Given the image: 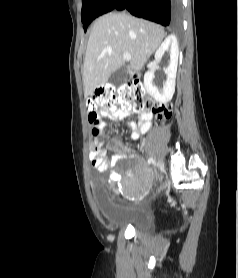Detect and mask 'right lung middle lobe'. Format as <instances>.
<instances>
[{
	"mask_svg": "<svg viewBox=\"0 0 238 278\" xmlns=\"http://www.w3.org/2000/svg\"><path fill=\"white\" fill-rule=\"evenodd\" d=\"M101 1L102 0H83L81 19H82L84 31L87 30V27L91 22V16L94 9Z\"/></svg>",
	"mask_w": 238,
	"mask_h": 278,
	"instance_id": "obj_1",
	"label": "right lung middle lobe"
}]
</instances>
